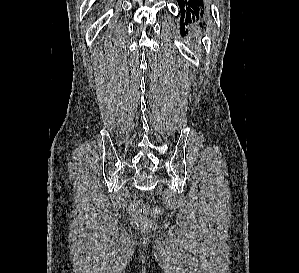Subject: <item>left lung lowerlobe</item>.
Wrapping results in <instances>:
<instances>
[{
  "mask_svg": "<svg viewBox=\"0 0 299 273\" xmlns=\"http://www.w3.org/2000/svg\"><path fill=\"white\" fill-rule=\"evenodd\" d=\"M180 7V32L186 34L188 23L199 20L205 14L203 0H177Z\"/></svg>",
  "mask_w": 299,
  "mask_h": 273,
  "instance_id": "left-lung-lower-lobe-1",
  "label": "left lung lower lobe"
}]
</instances>
